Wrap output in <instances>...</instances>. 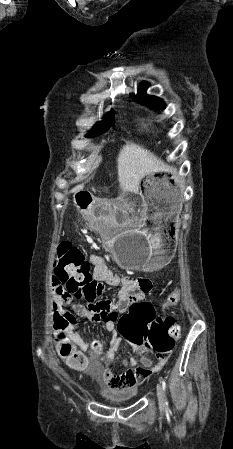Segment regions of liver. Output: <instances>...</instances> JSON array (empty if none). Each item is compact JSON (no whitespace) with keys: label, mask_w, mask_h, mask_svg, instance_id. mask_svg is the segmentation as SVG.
<instances>
[{"label":"liver","mask_w":233,"mask_h":449,"mask_svg":"<svg viewBox=\"0 0 233 449\" xmlns=\"http://www.w3.org/2000/svg\"><path fill=\"white\" fill-rule=\"evenodd\" d=\"M159 161L148 150L127 144L122 147L117 157V173L122 199L126 193H137L141 180L159 167ZM84 188V184L77 185L72 192Z\"/></svg>","instance_id":"obj_1"}]
</instances>
